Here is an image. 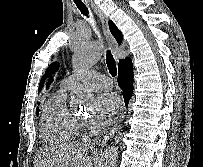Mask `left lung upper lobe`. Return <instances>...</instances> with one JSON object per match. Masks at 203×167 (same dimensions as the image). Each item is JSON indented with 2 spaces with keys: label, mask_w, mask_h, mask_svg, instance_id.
I'll use <instances>...</instances> for the list:
<instances>
[{
  "label": "left lung upper lobe",
  "mask_w": 203,
  "mask_h": 167,
  "mask_svg": "<svg viewBox=\"0 0 203 167\" xmlns=\"http://www.w3.org/2000/svg\"><path fill=\"white\" fill-rule=\"evenodd\" d=\"M58 63H52L51 66L49 68H54V69H58ZM46 73H48V70L46 71ZM46 75H44V77L42 78L40 85H39V89H41L43 83H44V79H45Z\"/></svg>",
  "instance_id": "1"
}]
</instances>
